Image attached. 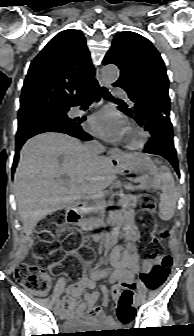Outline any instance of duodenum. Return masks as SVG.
Returning a JSON list of instances; mask_svg holds the SVG:
<instances>
[{"mask_svg":"<svg viewBox=\"0 0 194 336\" xmlns=\"http://www.w3.org/2000/svg\"><path fill=\"white\" fill-rule=\"evenodd\" d=\"M87 205L83 202L75 203L72 207L67 211V221L71 225L77 224L80 220L81 216L86 213Z\"/></svg>","mask_w":194,"mask_h":336,"instance_id":"obj_1","label":"duodenum"}]
</instances>
